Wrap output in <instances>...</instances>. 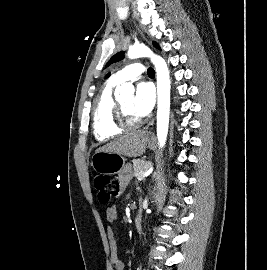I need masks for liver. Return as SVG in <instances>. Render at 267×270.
Segmentation results:
<instances>
[{
    "mask_svg": "<svg viewBox=\"0 0 267 270\" xmlns=\"http://www.w3.org/2000/svg\"><path fill=\"white\" fill-rule=\"evenodd\" d=\"M148 142L145 131L126 133L106 145L97 149L96 152L106 151L118 153L127 157H138L144 154Z\"/></svg>",
    "mask_w": 267,
    "mask_h": 270,
    "instance_id": "6515ba94",
    "label": "liver"
}]
</instances>
